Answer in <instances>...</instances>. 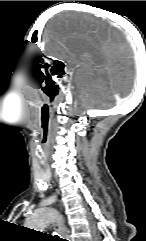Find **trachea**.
Returning a JSON list of instances; mask_svg holds the SVG:
<instances>
[{"mask_svg":"<svg viewBox=\"0 0 146 241\" xmlns=\"http://www.w3.org/2000/svg\"><path fill=\"white\" fill-rule=\"evenodd\" d=\"M55 241H66L65 239L59 238L57 235L54 236Z\"/></svg>","mask_w":146,"mask_h":241,"instance_id":"1","label":"trachea"}]
</instances>
